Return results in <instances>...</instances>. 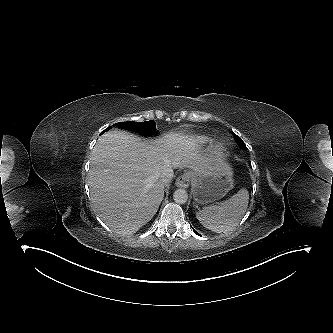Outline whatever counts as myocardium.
<instances>
[{"label": "myocardium", "mask_w": 333, "mask_h": 333, "mask_svg": "<svg viewBox=\"0 0 333 333\" xmlns=\"http://www.w3.org/2000/svg\"><path fill=\"white\" fill-rule=\"evenodd\" d=\"M220 150H221V145H219V144H214V145H213L212 152H213L214 154L219 153Z\"/></svg>", "instance_id": "obj_1"}]
</instances>
